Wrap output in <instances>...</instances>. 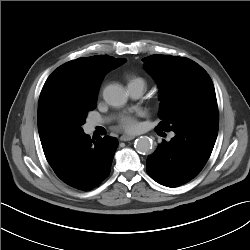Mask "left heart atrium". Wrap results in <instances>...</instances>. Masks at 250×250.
Segmentation results:
<instances>
[{
    "mask_svg": "<svg viewBox=\"0 0 250 250\" xmlns=\"http://www.w3.org/2000/svg\"><path fill=\"white\" fill-rule=\"evenodd\" d=\"M120 124L121 127L128 132H134L138 129V122L136 118L131 115L122 117Z\"/></svg>",
    "mask_w": 250,
    "mask_h": 250,
    "instance_id": "1",
    "label": "left heart atrium"
}]
</instances>
